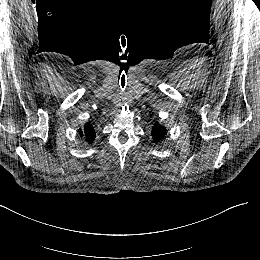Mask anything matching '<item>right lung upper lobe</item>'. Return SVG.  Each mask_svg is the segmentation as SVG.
Returning a JSON list of instances; mask_svg holds the SVG:
<instances>
[{
  "instance_id": "right-lung-upper-lobe-1",
  "label": "right lung upper lobe",
  "mask_w": 260,
  "mask_h": 260,
  "mask_svg": "<svg viewBox=\"0 0 260 260\" xmlns=\"http://www.w3.org/2000/svg\"><path fill=\"white\" fill-rule=\"evenodd\" d=\"M79 133L90 144L95 139V131L91 123H86L83 128H80Z\"/></svg>"
}]
</instances>
